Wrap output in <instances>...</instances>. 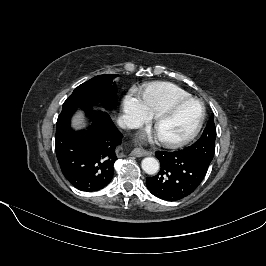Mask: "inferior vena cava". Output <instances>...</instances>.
<instances>
[{
    "mask_svg": "<svg viewBox=\"0 0 266 266\" xmlns=\"http://www.w3.org/2000/svg\"><path fill=\"white\" fill-rule=\"evenodd\" d=\"M118 125L121 128H137L138 122L129 115H122L117 120Z\"/></svg>",
    "mask_w": 266,
    "mask_h": 266,
    "instance_id": "1",
    "label": "inferior vena cava"
}]
</instances>
